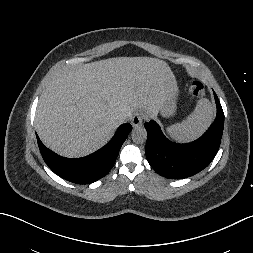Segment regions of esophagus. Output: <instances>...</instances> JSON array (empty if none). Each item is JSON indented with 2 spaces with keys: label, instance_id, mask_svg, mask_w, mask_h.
I'll return each mask as SVG.
<instances>
[{
  "label": "esophagus",
  "instance_id": "34e87169",
  "mask_svg": "<svg viewBox=\"0 0 253 253\" xmlns=\"http://www.w3.org/2000/svg\"><path fill=\"white\" fill-rule=\"evenodd\" d=\"M145 118V115L143 112L139 111V112H136L133 117H132V120H131V124L136 127V126H139L142 124L143 120Z\"/></svg>",
  "mask_w": 253,
  "mask_h": 253
}]
</instances>
